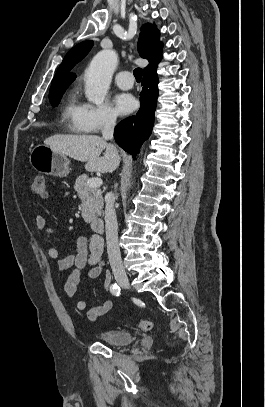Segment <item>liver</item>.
I'll return each instance as SVG.
<instances>
[{"label": "liver", "instance_id": "1", "mask_svg": "<svg viewBox=\"0 0 265 407\" xmlns=\"http://www.w3.org/2000/svg\"><path fill=\"white\" fill-rule=\"evenodd\" d=\"M44 144L63 155L85 162L87 171L111 173L120 164L116 147L97 135H53L45 139ZM103 150L105 153L100 157Z\"/></svg>", "mask_w": 265, "mask_h": 407}]
</instances>
